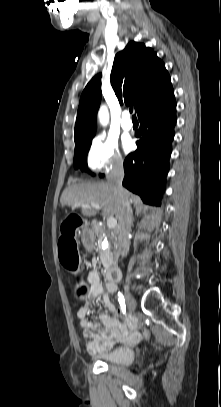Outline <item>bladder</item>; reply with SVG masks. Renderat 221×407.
Listing matches in <instances>:
<instances>
[{"label": "bladder", "instance_id": "1", "mask_svg": "<svg viewBox=\"0 0 221 407\" xmlns=\"http://www.w3.org/2000/svg\"><path fill=\"white\" fill-rule=\"evenodd\" d=\"M97 358L108 364L126 366L134 361L135 352L132 348L123 346L102 353Z\"/></svg>", "mask_w": 221, "mask_h": 407}]
</instances>
